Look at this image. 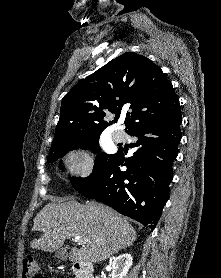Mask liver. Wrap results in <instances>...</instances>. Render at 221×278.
I'll list each match as a JSON object with an SVG mask.
<instances>
[{
	"label": "liver",
	"instance_id": "6515ba94",
	"mask_svg": "<svg viewBox=\"0 0 221 278\" xmlns=\"http://www.w3.org/2000/svg\"><path fill=\"white\" fill-rule=\"evenodd\" d=\"M37 214L33 231L43 235L30 243L31 248L54 252L66 238L85 240L81 248L69 252L71 262H101L130 247L136 240L132 225L116 211L97 202L82 205L74 200L51 199Z\"/></svg>",
	"mask_w": 221,
	"mask_h": 278
}]
</instances>
